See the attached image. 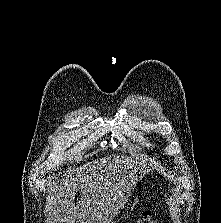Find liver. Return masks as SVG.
I'll return each mask as SVG.
<instances>
[{"label":"liver","mask_w":221,"mask_h":223,"mask_svg":"<svg viewBox=\"0 0 221 223\" xmlns=\"http://www.w3.org/2000/svg\"><path fill=\"white\" fill-rule=\"evenodd\" d=\"M137 160L112 155L68 169L50 199V223H111L138 179ZM81 190L80 201L75 194Z\"/></svg>","instance_id":"liver-1"}]
</instances>
